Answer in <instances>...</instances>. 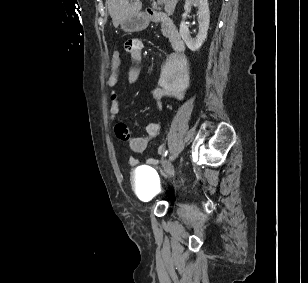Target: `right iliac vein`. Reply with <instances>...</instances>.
<instances>
[{
	"label": "right iliac vein",
	"mask_w": 308,
	"mask_h": 283,
	"mask_svg": "<svg viewBox=\"0 0 308 283\" xmlns=\"http://www.w3.org/2000/svg\"><path fill=\"white\" fill-rule=\"evenodd\" d=\"M175 155L176 154L174 152L171 154V157H170V159L168 161V164L175 158Z\"/></svg>",
	"instance_id": "1"
}]
</instances>
